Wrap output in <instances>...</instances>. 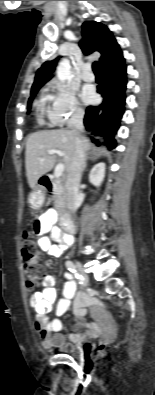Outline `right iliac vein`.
Wrapping results in <instances>:
<instances>
[{"instance_id":"right-iliac-vein-1","label":"right iliac vein","mask_w":155,"mask_h":395,"mask_svg":"<svg viewBox=\"0 0 155 395\" xmlns=\"http://www.w3.org/2000/svg\"><path fill=\"white\" fill-rule=\"evenodd\" d=\"M76 268L79 272V274L83 277V279L87 282L88 281V275L86 274L82 264L79 261L75 262Z\"/></svg>"}]
</instances>
